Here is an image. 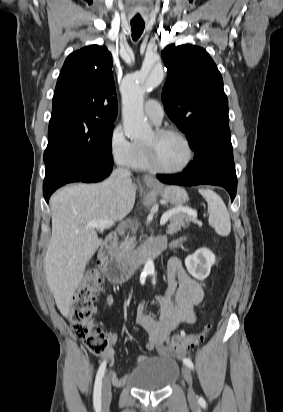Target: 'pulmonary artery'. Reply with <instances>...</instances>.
Instances as JSON below:
<instances>
[{
  "label": "pulmonary artery",
  "mask_w": 283,
  "mask_h": 412,
  "mask_svg": "<svg viewBox=\"0 0 283 412\" xmlns=\"http://www.w3.org/2000/svg\"><path fill=\"white\" fill-rule=\"evenodd\" d=\"M144 112L155 124H160L164 117L162 105L157 99H149L145 104Z\"/></svg>",
  "instance_id": "e3ab8cb5"
}]
</instances>
